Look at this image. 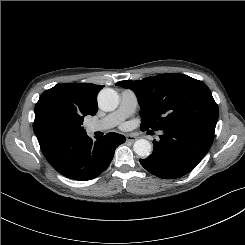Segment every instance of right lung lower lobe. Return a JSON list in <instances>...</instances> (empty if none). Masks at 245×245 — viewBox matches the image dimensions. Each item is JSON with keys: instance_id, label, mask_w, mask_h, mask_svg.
I'll return each mask as SVG.
<instances>
[{"instance_id": "obj_1", "label": "right lung lower lobe", "mask_w": 245, "mask_h": 245, "mask_svg": "<svg viewBox=\"0 0 245 245\" xmlns=\"http://www.w3.org/2000/svg\"><path fill=\"white\" fill-rule=\"evenodd\" d=\"M93 141L87 135L67 138L48 161L63 176L79 181L90 180L105 171L117 146L125 142L123 135L111 132Z\"/></svg>"}]
</instances>
